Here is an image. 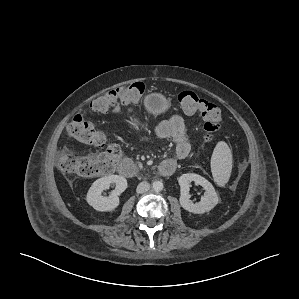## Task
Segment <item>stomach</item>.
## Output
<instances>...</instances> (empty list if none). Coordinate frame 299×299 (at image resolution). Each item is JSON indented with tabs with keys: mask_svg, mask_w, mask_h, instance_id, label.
<instances>
[{
	"mask_svg": "<svg viewBox=\"0 0 299 299\" xmlns=\"http://www.w3.org/2000/svg\"><path fill=\"white\" fill-rule=\"evenodd\" d=\"M143 103L146 111L153 116L164 114L171 107L170 99L161 93L147 95Z\"/></svg>",
	"mask_w": 299,
	"mask_h": 299,
	"instance_id": "obj_1",
	"label": "stomach"
}]
</instances>
